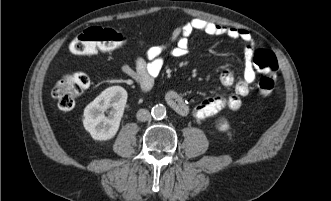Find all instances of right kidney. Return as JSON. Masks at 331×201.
Wrapping results in <instances>:
<instances>
[{"instance_id": "obj_1", "label": "right kidney", "mask_w": 331, "mask_h": 201, "mask_svg": "<svg viewBox=\"0 0 331 201\" xmlns=\"http://www.w3.org/2000/svg\"><path fill=\"white\" fill-rule=\"evenodd\" d=\"M126 102V90L121 86H112L86 106L83 125L94 140L106 141L116 135Z\"/></svg>"}]
</instances>
